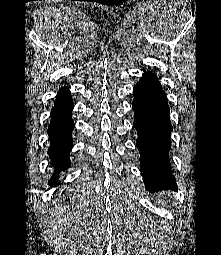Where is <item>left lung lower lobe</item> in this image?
<instances>
[{"mask_svg": "<svg viewBox=\"0 0 221 255\" xmlns=\"http://www.w3.org/2000/svg\"><path fill=\"white\" fill-rule=\"evenodd\" d=\"M133 126L137 130L140 169L149 191L177 187L170 170L169 151L172 125L166 94L151 72L143 74L133 88Z\"/></svg>", "mask_w": 221, "mask_h": 255, "instance_id": "left-lung-lower-lobe-1", "label": "left lung lower lobe"}]
</instances>
